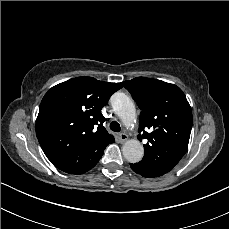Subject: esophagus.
<instances>
[{
	"mask_svg": "<svg viewBox=\"0 0 229 229\" xmlns=\"http://www.w3.org/2000/svg\"><path fill=\"white\" fill-rule=\"evenodd\" d=\"M119 138H120V141L123 143L128 139V135L125 133H120Z\"/></svg>",
	"mask_w": 229,
	"mask_h": 229,
	"instance_id": "esophagus-1",
	"label": "esophagus"
}]
</instances>
